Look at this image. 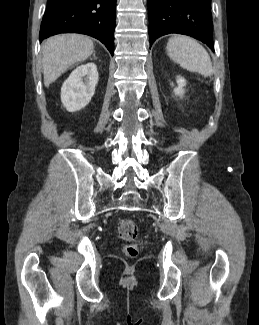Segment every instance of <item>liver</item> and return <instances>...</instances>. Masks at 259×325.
<instances>
[{"label": "liver", "mask_w": 259, "mask_h": 325, "mask_svg": "<svg viewBox=\"0 0 259 325\" xmlns=\"http://www.w3.org/2000/svg\"><path fill=\"white\" fill-rule=\"evenodd\" d=\"M93 51V42L83 35L61 34L47 39L42 46L44 85L48 87L68 67L86 60Z\"/></svg>", "instance_id": "6515ba94"}]
</instances>
